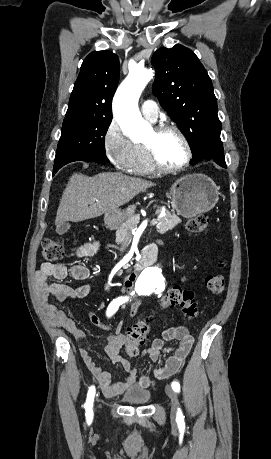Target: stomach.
<instances>
[{"mask_svg": "<svg viewBox=\"0 0 271 459\" xmlns=\"http://www.w3.org/2000/svg\"><path fill=\"white\" fill-rule=\"evenodd\" d=\"M170 194L174 210L178 216H183V218H195V216L205 214L212 210L219 200L215 182L205 174H190V176L176 180L170 188ZM133 212L134 208H128L125 212H120V210L108 212L105 222L108 226L122 224L131 218Z\"/></svg>", "mask_w": 271, "mask_h": 459, "instance_id": "0dacf381", "label": "stomach"}]
</instances>
